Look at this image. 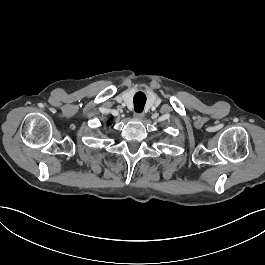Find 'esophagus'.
I'll return each instance as SVG.
<instances>
[{"label":"esophagus","mask_w":265,"mask_h":265,"mask_svg":"<svg viewBox=\"0 0 265 265\" xmlns=\"http://www.w3.org/2000/svg\"><path fill=\"white\" fill-rule=\"evenodd\" d=\"M134 117L138 118V119H142L144 117V114L143 113H135Z\"/></svg>","instance_id":"obj_1"}]
</instances>
